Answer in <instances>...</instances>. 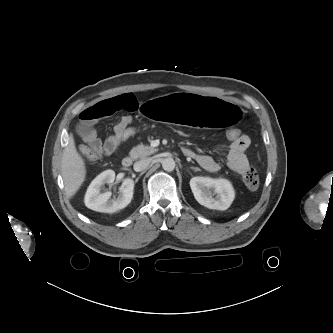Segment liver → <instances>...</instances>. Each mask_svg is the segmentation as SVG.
Segmentation results:
<instances>
[{"label":"liver","mask_w":333,"mask_h":333,"mask_svg":"<svg viewBox=\"0 0 333 333\" xmlns=\"http://www.w3.org/2000/svg\"><path fill=\"white\" fill-rule=\"evenodd\" d=\"M85 176L84 160L77 152L73 136L70 134L62 157V177L66 193L69 196H73L78 191Z\"/></svg>","instance_id":"liver-1"}]
</instances>
